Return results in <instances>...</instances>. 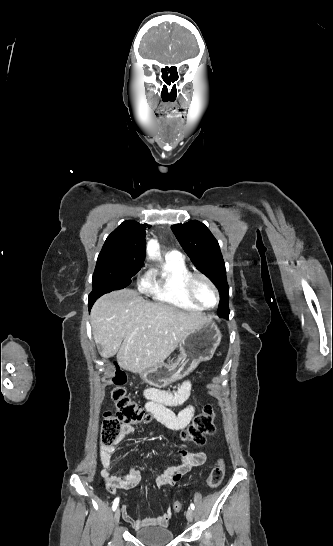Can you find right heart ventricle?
Segmentation results:
<instances>
[{
	"instance_id": "obj_1",
	"label": "right heart ventricle",
	"mask_w": 333,
	"mask_h": 546,
	"mask_svg": "<svg viewBox=\"0 0 333 546\" xmlns=\"http://www.w3.org/2000/svg\"><path fill=\"white\" fill-rule=\"evenodd\" d=\"M190 273L183 259L165 258L154 279L153 298L156 302L190 312L204 309L193 303L185 294L183 280Z\"/></svg>"
}]
</instances>
